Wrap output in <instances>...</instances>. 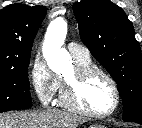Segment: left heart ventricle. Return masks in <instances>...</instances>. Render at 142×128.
Returning <instances> with one entry per match:
<instances>
[{"mask_svg": "<svg viewBox=\"0 0 142 128\" xmlns=\"http://www.w3.org/2000/svg\"><path fill=\"white\" fill-rule=\"evenodd\" d=\"M75 70L65 75V79L72 81ZM80 101L82 105L93 112L104 113L112 109L115 102L114 92L107 81L101 75L90 77L80 88Z\"/></svg>", "mask_w": 142, "mask_h": 128, "instance_id": "left-heart-ventricle-1", "label": "left heart ventricle"}]
</instances>
